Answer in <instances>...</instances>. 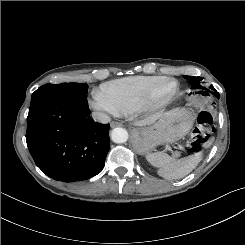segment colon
Masks as SVG:
<instances>
[{"mask_svg":"<svg viewBox=\"0 0 245 245\" xmlns=\"http://www.w3.org/2000/svg\"><path fill=\"white\" fill-rule=\"evenodd\" d=\"M214 125L211 113L199 112L197 125L191 134V147L193 152L200 153L204 150Z\"/></svg>","mask_w":245,"mask_h":245,"instance_id":"colon-1","label":"colon"}]
</instances>
